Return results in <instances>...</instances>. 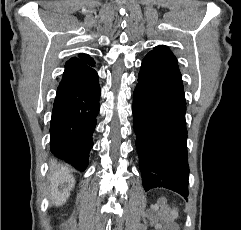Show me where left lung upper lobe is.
<instances>
[{
  "instance_id": "5c2ea615",
  "label": "left lung upper lobe",
  "mask_w": 241,
  "mask_h": 230,
  "mask_svg": "<svg viewBox=\"0 0 241 230\" xmlns=\"http://www.w3.org/2000/svg\"><path fill=\"white\" fill-rule=\"evenodd\" d=\"M149 53L159 54V55H162V56H164V57H166L170 60H173V61L177 62V59L173 55L171 50L167 46H164V45H159V46L155 47L154 50H152Z\"/></svg>"
}]
</instances>
